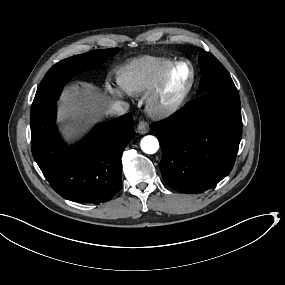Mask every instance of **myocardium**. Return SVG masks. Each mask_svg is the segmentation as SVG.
I'll use <instances>...</instances> for the list:
<instances>
[{
  "label": "myocardium",
  "mask_w": 285,
  "mask_h": 285,
  "mask_svg": "<svg viewBox=\"0 0 285 285\" xmlns=\"http://www.w3.org/2000/svg\"><path fill=\"white\" fill-rule=\"evenodd\" d=\"M176 74H179V71L174 67H170L155 86L145 93L143 103L145 110L149 114L163 118L174 113L184 104L193 86V72L191 70H189L188 81L184 84L180 95L173 102L159 103V98L164 93L168 83Z\"/></svg>",
  "instance_id": "f54148a6"
}]
</instances>
